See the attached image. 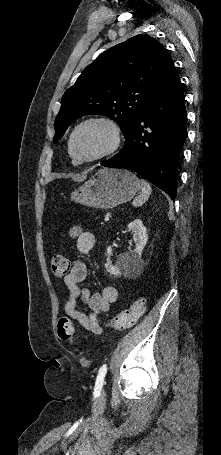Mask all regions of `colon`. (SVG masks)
Listing matches in <instances>:
<instances>
[{
    "instance_id": "5ec220e1",
    "label": "colon",
    "mask_w": 221,
    "mask_h": 455,
    "mask_svg": "<svg viewBox=\"0 0 221 455\" xmlns=\"http://www.w3.org/2000/svg\"><path fill=\"white\" fill-rule=\"evenodd\" d=\"M51 270L56 276H66L71 270V263L68 258L56 255L51 259ZM146 311V301L141 298L134 301L128 308L115 315L108 323L109 327L115 330H125L136 325L138 319ZM58 335L65 342L75 341V332L72 321L61 316L58 320Z\"/></svg>"
}]
</instances>
